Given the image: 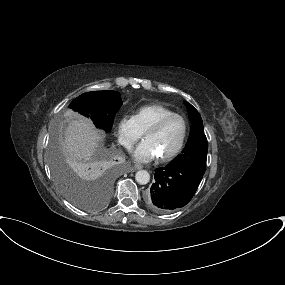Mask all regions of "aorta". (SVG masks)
Masks as SVG:
<instances>
[{
    "mask_svg": "<svg viewBox=\"0 0 285 285\" xmlns=\"http://www.w3.org/2000/svg\"><path fill=\"white\" fill-rule=\"evenodd\" d=\"M135 180L138 184L145 185L150 181V174L146 170H139L136 172Z\"/></svg>",
    "mask_w": 285,
    "mask_h": 285,
    "instance_id": "1",
    "label": "aorta"
}]
</instances>
